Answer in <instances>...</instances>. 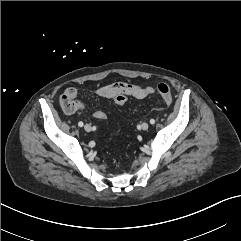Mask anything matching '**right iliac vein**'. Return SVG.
Wrapping results in <instances>:
<instances>
[{
    "label": "right iliac vein",
    "instance_id": "right-iliac-vein-1",
    "mask_svg": "<svg viewBox=\"0 0 241 241\" xmlns=\"http://www.w3.org/2000/svg\"><path fill=\"white\" fill-rule=\"evenodd\" d=\"M84 129H85V131L90 132L92 128L89 124H85Z\"/></svg>",
    "mask_w": 241,
    "mask_h": 241
}]
</instances>
